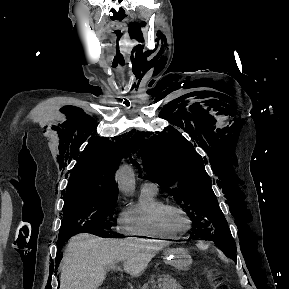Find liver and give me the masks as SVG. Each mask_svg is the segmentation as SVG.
Segmentation results:
<instances>
[{
  "mask_svg": "<svg viewBox=\"0 0 289 289\" xmlns=\"http://www.w3.org/2000/svg\"><path fill=\"white\" fill-rule=\"evenodd\" d=\"M167 241L102 239L90 234L73 237L61 262L60 289H98L108 266L123 262L124 272L139 276Z\"/></svg>",
  "mask_w": 289,
  "mask_h": 289,
  "instance_id": "liver-1",
  "label": "liver"
}]
</instances>
